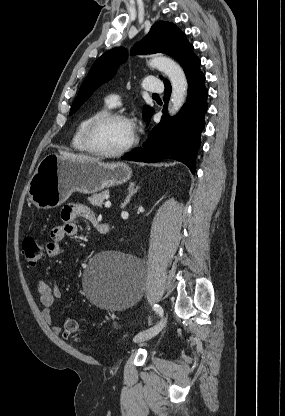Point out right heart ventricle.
Listing matches in <instances>:
<instances>
[{"label":"right heart ventricle","instance_id":"obj_1","mask_svg":"<svg viewBox=\"0 0 285 416\" xmlns=\"http://www.w3.org/2000/svg\"><path fill=\"white\" fill-rule=\"evenodd\" d=\"M104 110L103 109H98L95 110L93 112H90L89 114L83 116L79 122L77 123L75 130L73 132L72 135V139H71V144L73 146V148L79 152L82 153H90V151L88 150V148L86 147L85 143H84V130L86 125L88 124V122L95 116L103 113Z\"/></svg>","mask_w":285,"mask_h":416}]
</instances>
